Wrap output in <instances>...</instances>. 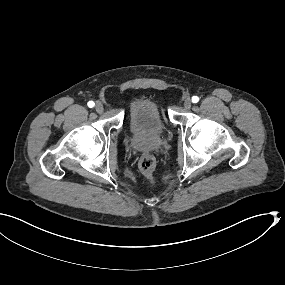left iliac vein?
Listing matches in <instances>:
<instances>
[{
  "label": "left iliac vein",
  "instance_id": "left-iliac-vein-1",
  "mask_svg": "<svg viewBox=\"0 0 285 285\" xmlns=\"http://www.w3.org/2000/svg\"><path fill=\"white\" fill-rule=\"evenodd\" d=\"M184 107L186 108V109H190L191 108V104H192V102H191V99L190 98H186L185 100H184Z\"/></svg>",
  "mask_w": 285,
  "mask_h": 285
}]
</instances>
